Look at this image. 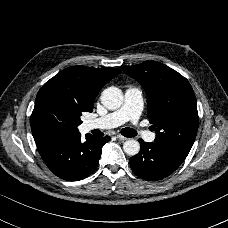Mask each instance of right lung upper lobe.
<instances>
[{"label":"right lung upper lobe","mask_w":228,"mask_h":228,"mask_svg":"<svg viewBox=\"0 0 228 228\" xmlns=\"http://www.w3.org/2000/svg\"><path fill=\"white\" fill-rule=\"evenodd\" d=\"M120 73L121 71L117 68L72 66L59 72L47 83L62 87L71 94L85 112H91L99 90Z\"/></svg>","instance_id":"right-lung-upper-lobe-1"}]
</instances>
